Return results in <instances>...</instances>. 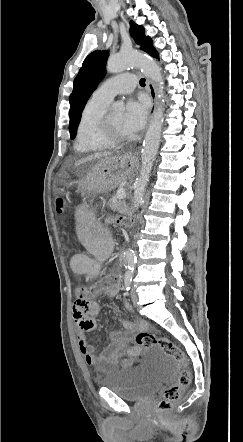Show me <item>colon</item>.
<instances>
[{
  "instance_id": "1",
  "label": "colon",
  "mask_w": 243,
  "mask_h": 442,
  "mask_svg": "<svg viewBox=\"0 0 243 442\" xmlns=\"http://www.w3.org/2000/svg\"><path fill=\"white\" fill-rule=\"evenodd\" d=\"M65 206L63 199L56 200L58 213H62ZM101 220L109 221L110 226L119 230L142 229L143 223L138 222L137 216H129L128 213H110L101 215ZM82 310L84 308L82 306ZM136 341L143 349L158 347L166 355L171 356L181 365L177 381L164 390L162 400L158 405V417L166 419L170 416L173 406L179 401L184 389L191 383L192 374L188 368L187 357L184 351L165 337H157L152 333L141 332L137 335Z\"/></svg>"
}]
</instances>
